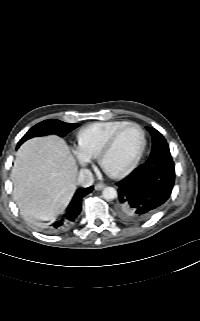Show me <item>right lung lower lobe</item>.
<instances>
[{
    "instance_id": "1",
    "label": "right lung lower lobe",
    "mask_w": 200,
    "mask_h": 321,
    "mask_svg": "<svg viewBox=\"0 0 200 321\" xmlns=\"http://www.w3.org/2000/svg\"><path fill=\"white\" fill-rule=\"evenodd\" d=\"M92 190V186L88 188H79L68 205L64 215L50 226L49 231L52 233H59L69 228L81 212L82 198Z\"/></svg>"
}]
</instances>
